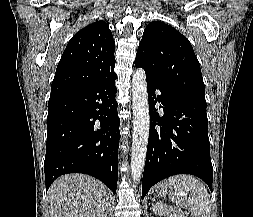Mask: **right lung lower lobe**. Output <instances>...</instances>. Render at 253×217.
<instances>
[{
  "instance_id": "1",
  "label": "right lung lower lobe",
  "mask_w": 253,
  "mask_h": 217,
  "mask_svg": "<svg viewBox=\"0 0 253 217\" xmlns=\"http://www.w3.org/2000/svg\"><path fill=\"white\" fill-rule=\"evenodd\" d=\"M116 77L112 71L83 89L49 99L46 190L60 175L85 173L116 192L120 139Z\"/></svg>"
}]
</instances>
